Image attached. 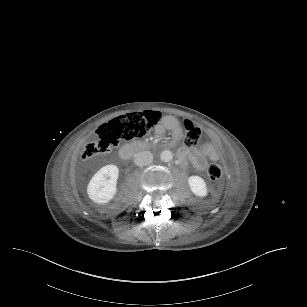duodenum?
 I'll use <instances>...</instances> for the list:
<instances>
[{
    "instance_id": "1",
    "label": "duodenum",
    "mask_w": 307,
    "mask_h": 307,
    "mask_svg": "<svg viewBox=\"0 0 307 307\" xmlns=\"http://www.w3.org/2000/svg\"><path fill=\"white\" fill-rule=\"evenodd\" d=\"M158 143L157 142H150V141H133L125 144L122 146L118 152V155L121 159H127L129 155L134 152L151 149L155 147ZM178 158L179 155H178Z\"/></svg>"
}]
</instances>
